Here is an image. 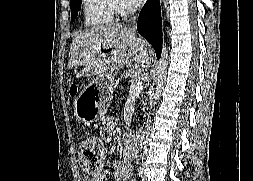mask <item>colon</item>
<instances>
[{
	"label": "colon",
	"mask_w": 253,
	"mask_h": 181,
	"mask_svg": "<svg viewBox=\"0 0 253 181\" xmlns=\"http://www.w3.org/2000/svg\"><path fill=\"white\" fill-rule=\"evenodd\" d=\"M75 93V89L72 90ZM105 147L96 137L85 138L79 147L80 164L88 173L97 172L105 162Z\"/></svg>",
	"instance_id": "obj_1"
}]
</instances>
